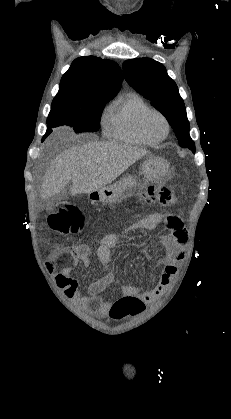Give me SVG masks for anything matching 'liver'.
Masks as SVG:
<instances>
[{"instance_id":"obj_1","label":"liver","mask_w":231,"mask_h":419,"mask_svg":"<svg viewBox=\"0 0 231 419\" xmlns=\"http://www.w3.org/2000/svg\"><path fill=\"white\" fill-rule=\"evenodd\" d=\"M149 154L144 148L116 142H89L72 147L50 164L41 196L51 198L59 194L70 181L71 195L98 191Z\"/></svg>"}]
</instances>
